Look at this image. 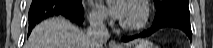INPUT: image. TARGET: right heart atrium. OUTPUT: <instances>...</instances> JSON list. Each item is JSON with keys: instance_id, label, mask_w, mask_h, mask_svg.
Instances as JSON below:
<instances>
[{"instance_id": "right-heart-atrium-1", "label": "right heart atrium", "mask_w": 213, "mask_h": 48, "mask_svg": "<svg viewBox=\"0 0 213 48\" xmlns=\"http://www.w3.org/2000/svg\"><path fill=\"white\" fill-rule=\"evenodd\" d=\"M89 19L95 26H101L106 19V15L97 5L92 4L89 12Z\"/></svg>"}]
</instances>
